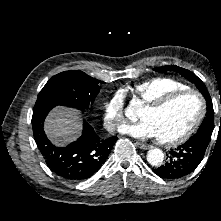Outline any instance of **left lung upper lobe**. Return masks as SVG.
Returning <instances> with one entry per match:
<instances>
[{
	"label": "left lung upper lobe",
	"instance_id": "left-lung-upper-lobe-1",
	"mask_svg": "<svg viewBox=\"0 0 221 221\" xmlns=\"http://www.w3.org/2000/svg\"><path fill=\"white\" fill-rule=\"evenodd\" d=\"M155 71H169V70H176L178 71L182 76H184L186 79H188L190 82H193L196 84L199 91L203 94V96L206 99L207 102V113L206 118L203 120L200 128L198 129L197 134H203L206 136H209V140L211 139V134L214 127V111H213V105L212 100L210 98V95L207 91V88L205 84L202 82L201 79H199L194 73H192L189 70H186L184 68H180L177 66H164V67H158L154 69Z\"/></svg>",
	"mask_w": 221,
	"mask_h": 221
}]
</instances>
